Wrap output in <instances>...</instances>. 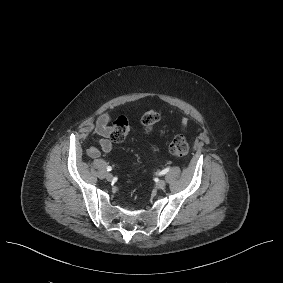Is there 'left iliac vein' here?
<instances>
[{"label":"left iliac vein","instance_id":"1","mask_svg":"<svg viewBox=\"0 0 283 283\" xmlns=\"http://www.w3.org/2000/svg\"><path fill=\"white\" fill-rule=\"evenodd\" d=\"M166 186V181L165 180H159L156 183V188L157 189H163Z\"/></svg>","mask_w":283,"mask_h":283}]
</instances>
